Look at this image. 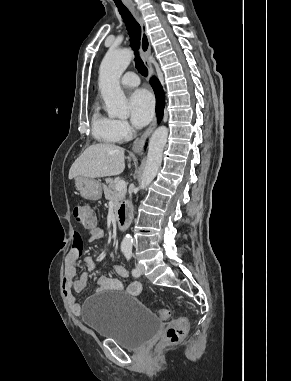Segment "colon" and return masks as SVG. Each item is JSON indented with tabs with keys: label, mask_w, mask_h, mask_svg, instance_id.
I'll list each match as a JSON object with an SVG mask.
<instances>
[{
	"label": "colon",
	"mask_w": 291,
	"mask_h": 381,
	"mask_svg": "<svg viewBox=\"0 0 291 381\" xmlns=\"http://www.w3.org/2000/svg\"><path fill=\"white\" fill-rule=\"evenodd\" d=\"M75 221L85 230H92L96 225V216L94 210L86 205H77L72 211ZM168 309H161L159 317L162 320L170 318ZM188 330V322L186 318L180 317L173 321L172 325L165 331L163 344L176 345L181 342Z\"/></svg>",
	"instance_id": "5ec220e1"
}]
</instances>
